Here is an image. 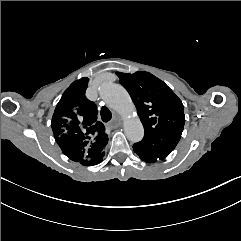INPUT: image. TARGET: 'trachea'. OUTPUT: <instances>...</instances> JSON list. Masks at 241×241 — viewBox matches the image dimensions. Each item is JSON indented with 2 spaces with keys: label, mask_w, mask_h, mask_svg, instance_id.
Returning a JSON list of instances; mask_svg holds the SVG:
<instances>
[{
  "label": "trachea",
  "mask_w": 241,
  "mask_h": 241,
  "mask_svg": "<svg viewBox=\"0 0 241 241\" xmlns=\"http://www.w3.org/2000/svg\"><path fill=\"white\" fill-rule=\"evenodd\" d=\"M101 114V119L103 120V122H109L112 118V114L110 112V110L106 107H103L100 111Z\"/></svg>",
  "instance_id": "3493384b"
}]
</instances>
